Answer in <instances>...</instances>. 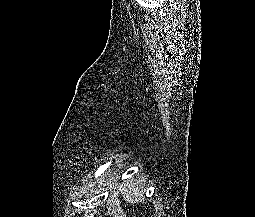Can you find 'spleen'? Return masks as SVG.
<instances>
[{"label": "spleen", "instance_id": "obj_1", "mask_svg": "<svg viewBox=\"0 0 255 217\" xmlns=\"http://www.w3.org/2000/svg\"><path fill=\"white\" fill-rule=\"evenodd\" d=\"M123 199L131 204H138L145 201V192L136 182H126L120 189Z\"/></svg>", "mask_w": 255, "mask_h": 217}]
</instances>
